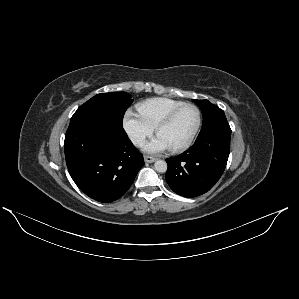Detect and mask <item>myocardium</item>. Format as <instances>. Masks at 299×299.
<instances>
[{
  "label": "myocardium",
  "mask_w": 299,
  "mask_h": 299,
  "mask_svg": "<svg viewBox=\"0 0 299 299\" xmlns=\"http://www.w3.org/2000/svg\"><path fill=\"white\" fill-rule=\"evenodd\" d=\"M186 107H192L196 110L197 112V124H196V127L193 131V133L191 134V136L189 137V139L184 142L183 144L179 145V146H176V147H173L171 148V150L173 152H180V151H183L185 149H187L188 147H190L192 145V143L194 142V140L196 139L199 131H200V128H201V125H202V113H201V110L199 109V107L195 104H192V103H184L182 104L181 106L179 107H176L175 109H173L172 111H170L159 123L158 125L156 126V132L157 134H159V132L161 131L162 128H164L165 126H167L168 124H170L173 119L176 117V115L184 108Z\"/></svg>",
  "instance_id": "f54148a6"
}]
</instances>
